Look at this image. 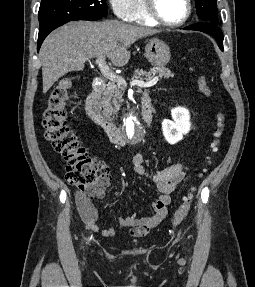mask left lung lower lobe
Returning <instances> with one entry per match:
<instances>
[{
	"mask_svg": "<svg viewBox=\"0 0 255 287\" xmlns=\"http://www.w3.org/2000/svg\"><path fill=\"white\" fill-rule=\"evenodd\" d=\"M183 29L202 31L213 36L217 40L220 49L223 50V33L218 27V24L212 22H199Z\"/></svg>",
	"mask_w": 255,
	"mask_h": 287,
	"instance_id": "left-lung-lower-lobe-1",
	"label": "left lung lower lobe"
}]
</instances>
